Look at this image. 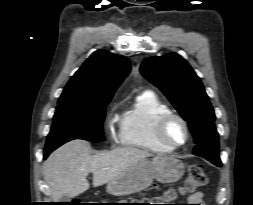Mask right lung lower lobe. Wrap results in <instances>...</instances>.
Returning a JSON list of instances; mask_svg holds the SVG:
<instances>
[{"label": "right lung lower lobe", "instance_id": "right-lung-lower-lobe-1", "mask_svg": "<svg viewBox=\"0 0 253 205\" xmlns=\"http://www.w3.org/2000/svg\"><path fill=\"white\" fill-rule=\"evenodd\" d=\"M52 151L53 150H44V159H46Z\"/></svg>", "mask_w": 253, "mask_h": 205}]
</instances>
